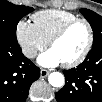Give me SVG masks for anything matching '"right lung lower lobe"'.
I'll list each match as a JSON object with an SVG mask.
<instances>
[{"mask_svg": "<svg viewBox=\"0 0 102 102\" xmlns=\"http://www.w3.org/2000/svg\"><path fill=\"white\" fill-rule=\"evenodd\" d=\"M40 69L27 59L17 42L0 40V100L24 102Z\"/></svg>", "mask_w": 102, "mask_h": 102, "instance_id": "right-lung-lower-lobe-1", "label": "right lung lower lobe"}]
</instances>
